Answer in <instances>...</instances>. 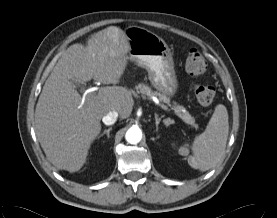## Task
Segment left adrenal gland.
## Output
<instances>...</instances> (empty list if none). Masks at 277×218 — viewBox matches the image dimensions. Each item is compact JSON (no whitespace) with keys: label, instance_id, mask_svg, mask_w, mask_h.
Listing matches in <instances>:
<instances>
[{"label":"left adrenal gland","instance_id":"left-adrenal-gland-1","mask_svg":"<svg viewBox=\"0 0 277 218\" xmlns=\"http://www.w3.org/2000/svg\"><path fill=\"white\" fill-rule=\"evenodd\" d=\"M162 118H163V116L158 117V115L155 114L156 131H158V126H159V123L161 122ZM170 121H171L170 119H165V120H164V123H165L166 125H168Z\"/></svg>","mask_w":277,"mask_h":218}]
</instances>
